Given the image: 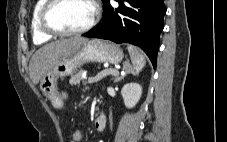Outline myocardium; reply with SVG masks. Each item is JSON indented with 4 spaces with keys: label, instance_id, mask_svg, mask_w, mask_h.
Returning a JSON list of instances; mask_svg holds the SVG:
<instances>
[{
    "label": "myocardium",
    "instance_id": "obj_1",
    "mask_svg": "<svg viewBox=\"0 0 227 142\" xmlns=\"http://www.w3.org/2000/svg\"><path fill=\"white\" fill-rule=\"evenodd\" d=\"M63 0H46V3L43 5L40 15L39 22L41 29L52 36H71L85 33L92 29L99 20L100 9L96 0H89L93 8V15L91 20L83 27L75 30H61L52 25L50 21V13L56 5L61 3Z\"/></svg>",
    "mask_w": 227,
    "mask_h": 142
}]
</instances>
